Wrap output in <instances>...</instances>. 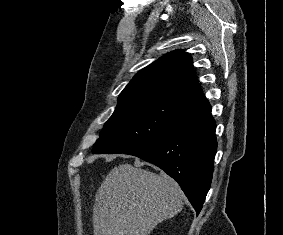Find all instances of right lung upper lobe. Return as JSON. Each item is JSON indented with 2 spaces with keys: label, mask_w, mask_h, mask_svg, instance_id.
I'll return each mask as SVG.
<instances>
[{
  "label": "right lung upper lobe",
  "mask_w": 283,
  "mask_h": 235,
  "mask_svg": "<svg viewBox=\"0 0 283 235\" xmlns=\"http://www.w3.org/2000/svg\"><path fill=\"white\" fill-rule=\"evenodd\" d=\"M202 97L194 77L192 58L176 50L139 71L120 93L118 103L166 100L190 104Z\"/></svg>",
  "instance_id": "1"
}]
</instances>
